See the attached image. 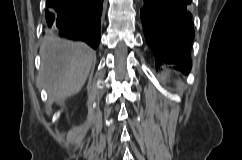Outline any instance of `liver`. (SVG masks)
Returning a JSON list of instances; mask_svg holds the SVG:
<instances>
[{
	"label": "liver",
	"instance_id": "1",
	"mask_svg": "<svg viewBox=\"0 0 242 160\" xmlns=\"http://www.w3.org/2000/svg\"><path fill=\"white\" fill-rule=\"evenodd\" d=\"M40 53V79L49 94L56 100L77 94L89 75L95 51L84 43L48 39Z\"/></svg>",
	"mask_w": 242,
	"mask_h": 160
}]
</instances>
